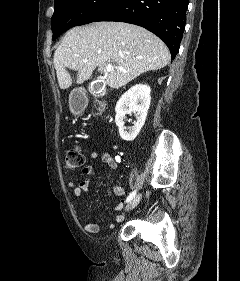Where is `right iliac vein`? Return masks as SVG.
Instances as JSON below:
<instances>
[{"mask_svg":"<svg viewBox=\"0 0 240 281\" xmlns=\"http://www.w3.org/2000/svg\"><path fill=\"white\" fill-rule=\"evenodd\" d=\"M142 198V194L135 196L125 207V211H130L135 208Z\"/></svg>","mask_w":240,"mask_h":281,"instance_id":"63e3f726","label":"right iliac vein"}]
</instances>
